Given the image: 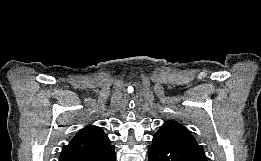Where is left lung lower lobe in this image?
<instances>
[{
    "label": "left lung lower lobe",
    "instance_id": "obj_1",
    "mask_svg": "<svg viewBox=\"0 0 261 161\" xmlns=\"http://www.w3.org/2000/svg\"><path fill=\"white\" fill-rule=\"evenodd\" d=\"M148 161H207L203 146L172 135L156 133L149 145Z\"/></svg>",
    "mask_w": 261,
    "mask_h": 161
}]
</instances>
